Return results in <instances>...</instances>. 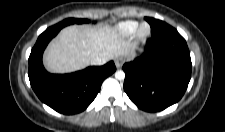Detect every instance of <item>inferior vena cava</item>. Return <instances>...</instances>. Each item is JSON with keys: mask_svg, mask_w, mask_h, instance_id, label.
Wrapping results in <instances>:
<instances>
[{"mask_svg": "<svg viewBox=\"0 0 225 132\" xmlns=\"http://www.w3.org/2000/svg\"><path fill=\"white\" fill-rule=\"evenodd\" d=\"M108 61L107 57H96L94 59L91 60V64L92 65H104L106 62Z\"/></svg>", "mask_w": 225, "mask_h": 132, "instance_id": "602c4592", "label": "inferior vena cava"}]
</instances>
